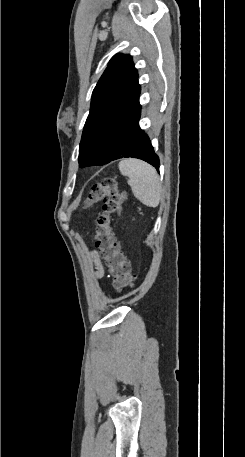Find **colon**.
Masks as SVG:
<instances>
[{"instance_id":"1","label":"colon","mask_w":245,"mask_h":457,"mask_svg":"<svg viewBox=\"0 0 245 457\" xmlns=\"http://www.w3.org/2000/svg\"><path fill=\"white\" fill-rule=\"evenodd\" d=\"M125 201L126 194L118 187L116 179L106 178L92 186L84 202V207L103 202V212L96 219L95 243L118 292L133 284L130 263L125 258L120 243L115 239L112 228V218L121 214Z\"/></svg>"}]
</instances>
